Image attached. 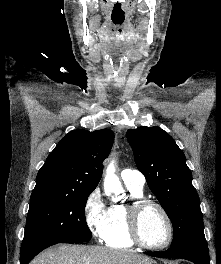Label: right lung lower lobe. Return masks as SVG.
<instances>
[{"mask_svg": "<svg viewBox=\"0 0 221 264\" xmlns=\"http://www.w3.org/2000/svg\"><path fill=\"white\" fill-rule=\"evenodd\" d=\"M84 242H86V241L72 242L71 244H78V243H84ZM51 245H54V244L42 245L38 248H35L33 250H30L28 252L20 254V258H21L20 264H28L39 252H41L42 250H44L45 248H47Z\"/></svg>", "mask_w": 221, "mask_h": 264, "instance_id": "98d812e1", "label": "right lung lower lobe"}]
</instances>
